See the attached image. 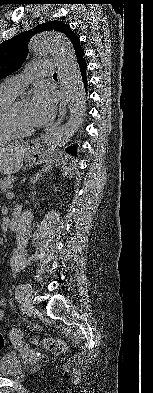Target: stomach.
Instances as JSON below:
<instances>
[{
    "label": "stomach",
    "instance_id": "obj_1",
    "mask_svg": "<svg viewBox=\"0 0 153 393\" xmlns=\"http://www.w3.org/2000/svg\"><path fill=\"white\" fill-rule=\"evenodd\" d=\"M25 149L24 159L29 165H41L49 162L53 155V151L38 144H33L32 146L27 145Z\"/></svg>",
    "mask_w": 153,
    "mask_h": 393
}]
</instances>
